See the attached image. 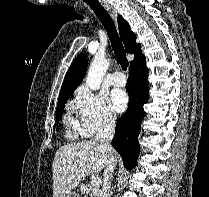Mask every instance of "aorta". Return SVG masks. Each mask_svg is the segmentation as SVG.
Returning a JSON list of instances; mask_svg holds the SVG:
<instances>
[{
	"mask_svg": "<svg viewBox=\"0 0 209 197\" xmlns=\"http://www.w3.org/2000/svg\"><path fill=\"white\" fill-rule=\"evenodd\" d=\"M109 67V60L102 55H96L88 69L85 80L86 85L91 90H98L102 83L103 77Z\"/></svg>",
	"mask_w": 209,
	"mask_h": 197,
	"instance_id": "obj_1",
	"label": "aorta"
}]
</instances>
